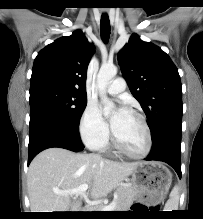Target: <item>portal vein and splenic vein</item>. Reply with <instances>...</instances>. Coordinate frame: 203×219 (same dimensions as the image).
Here are the masks:
<instances>
[{"mask_svg": "<svg viewBox=\"0 0 203 219\" xmlns=\"http://www.w3.org/2000/svg\"><path fill=\"white\" fill-rule=\"evenodd\" d=\"M88 187H89L88 184H82L75 189L68 190V191H57L56 193L58 195H70V196L81 195L84 198H86V190L88 189ZM115 207H116V202L114 200L110 204L103 206L101 208V211H112Z\"/></svg>", "mask_w": 203, "mask_h": 219, "instance_id": "1", "label": "portal vein and splenic vein"}]
</instances>
